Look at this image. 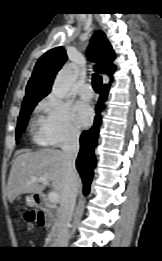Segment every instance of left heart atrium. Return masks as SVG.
<instances>
[{"instance_id":"39dd6f15","label":"left heart atrium","mask_w":162,"mask_h":261,"mask_svg":"<svg viewBox=\"0 0 162 261\" xmlns=\"http://www.w3.org/2000/svg\"><path fill=\"white\" fill-rule=\"evenodd\" d=\"M77 122L81 127H87L93 120V109L88 102L80 101L75 105Z\"/></svg>"}]
</instances>
